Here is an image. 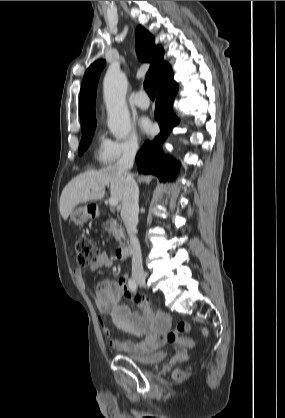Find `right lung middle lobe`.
I'll use <instances>...</instances> for the list:
<instances>
[{"instance_id": "obj_1", "label": "right lung middle lobe", "mask_w": 285, "mask_h": 418, "mask_svg": "<svg viewBox=\"0 0 285 418\" xmlns=\"http://www.w3.org/2000/svg\"><path fill=\"white\" fill-rule=\"evenodd\" d=\"M96 127V122L89 124L87 126L82 127V139L79 146V154L81 155L89 146L94 130Z\"/></svg>"}]
</instances>
